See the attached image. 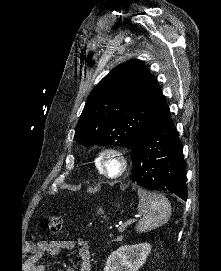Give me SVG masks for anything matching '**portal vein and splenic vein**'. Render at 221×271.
<instances>
[{"instance_id":"obj_1","label":"portal vein and splenic vein","mask_w":221,"mask_h":271,"mask_svg":"<svg viewBox=\"0 0 221 271\" xmlns=\"http://www.w3.org/2000/svg\"><path fill=\"white\" fill-rule=\"evenodd\" d=\"M132 218H139V213H132ZM132 221H137V219H128V221H125V223H122V225L118 227V231H124L125 227H127V225H130Z\"/></svg>"}]
</instances>
